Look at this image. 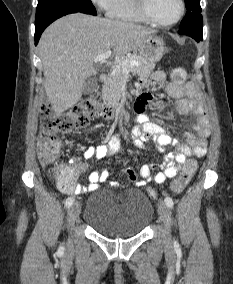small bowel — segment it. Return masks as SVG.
Segmentation results:
<instances>
[{
  "mask_svg": "<svg viewBox=\"0 0 233 284\" xmlns=\"http://www.w3.org/2000/svg\"><path fill=\"white\" fill-rule=\"evenodd\" d=\"M151 78L156 85L164 86L166 93L177 100V111L180 114L194 113L197 118L194 125L195 132L185 133L186 143H178L165 128L152 122L148 114L145 113V107L154 100L153 96L149 93H144L138 98L135 104V112L138 115L137 121L139 125L132 129V138L142 142L153 141L163 150L175 147L174 151L167 153L162 170L156 174H153L150 164L141 166V180H138L137 174L132 167L125 169L129 179L138 186H144L151 182L161 184L165 180L173 178L177 174L178 168L186 162L188 157L195 156L200 158L205 156L207 153V140L210 135L208 121L203 113L200 94L191 84L181 85L169 82L163 70H156L152 73ZM141 86L146 87V81L143 80ZM121 152L122 144L120 137L115 135L102 144L87 147L82 160L72 158L68 164L44 166L47 167L60 188V182L63 177L73 175L78 178L87 171L89 163L93 160L108 158ZM108 176L109 173L106 169L94 171L88 176L89 184L87 187L77 184L71 193L79 194L86 191H94L98 188L99 183L108 179Z\"/></svg>",
  "mask_w": 233,
  "mask_h": 284,
  "instance_id": "c3829d8e",
  "label": "small bowel"
}]
</instances>
